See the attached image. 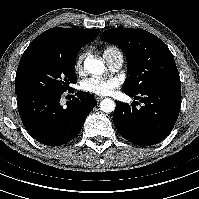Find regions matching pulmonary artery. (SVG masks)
Segmentation results:
<instances>
[{
    "instance_id": "pulmonary-artery-1",
    "label": "pulmonary artery",
    "mask_w": 199,
    "mask_h": 199,
    "mask_svg": "<svg viewBox=\"0 0 199 199\" xmlns=\"http://www.w3.org/2000/svg\"><path fill=\"white\" fill-rule=\"evenodd\" d=\"M109 67L113 71H118L122 68L124 63V57L121 52L114 53L111 58L107 61Z\"/></svg>"
}]
</instances>
